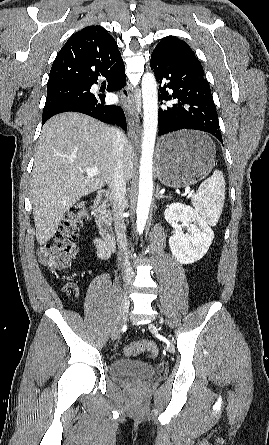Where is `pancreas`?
Masks as SVG:
<instances>
[{
  "instance_id": "pancreas-1",
  "label": "pancreas",
  "mask_w": 269,
  "mask_h": 445,
  "mask_svg": "<svg viewBox=\"0 0 269 445\" xmlns=\"http://www.w3.org/2000/svg\"><path fill=\"white\" fill-rule=\"evenodd\" d=\"M107 216H108L109 218H111V213H110V211H107Z\"/></svg>"
}]
</instances>
